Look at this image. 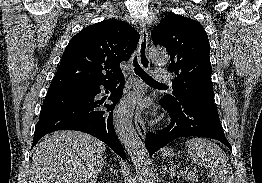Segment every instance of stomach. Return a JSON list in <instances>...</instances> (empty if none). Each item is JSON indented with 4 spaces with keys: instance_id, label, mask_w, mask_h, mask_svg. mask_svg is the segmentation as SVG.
Returning a JSON list of instances; mask_svg holds the SVG:
<instances>
[{
    "instance_id": "0dacf381",
    "label": "stomach",
    "mask_w": 262,
    "mask_h": 183,
    "mask_svg": "<svg viewBox=\"0 0 262 183\" xmlns=\"http://www.w3.org/2000/svg\"><path fill=\"white\" fill-rule=\"evenodd\" d=\"M163 156H164V157H172V156H174V152H173L172 149H166V150L164 151V153H163Z\"/></svg>"
}]
</instances>
